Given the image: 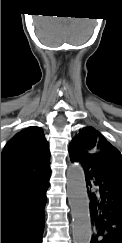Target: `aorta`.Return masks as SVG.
Here are the masks:
<instances>
[{
  "mask_svg": "<svg viewBox=\"0 0 122 243\" xmlns=\"http://www.w3.org/2000/svg\"><path fill=\"white\" fill-rule=\"evenodd\" d=\"M67 194L73 219V243H90L92 231L89 199L84 170L80 165L68 167Z\"/></svg>",
  "mask_w": 122,
  "mask_h": 243,
  "instance_id": "1",
  "label": "aorta"
}]
</instances>
